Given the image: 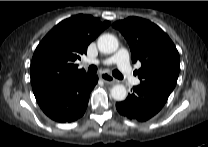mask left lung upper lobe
<instances>
[{"instance_id":"obj_1","label":"left lung upper lobe","mask_w":208,"mask_h":147,"mask_svg":"<svg viewBox=\"0 0 208 147\" xmlns=\"http://www.w3.org/2000/svg\"><path fill=\"white\" fill-rule=\"evenodd\" d=\"M126 38L132 61H140L135 71L141 85H147L170 94L178 79L180 58L169 36L154 23L129 17L113 24Z\"/></svg>"}]
</instances>
